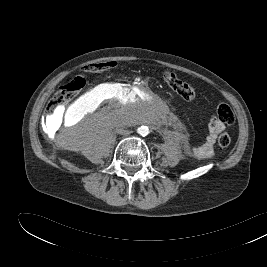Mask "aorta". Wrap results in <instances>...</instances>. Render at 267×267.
<instances>
[{"instance_id":"762f6f07","label":"aorta","mask_w":267,"mask_h":267,"mask_svg":"<svg viewBox=\"0 0 267 267\" xmlns=\"http://www.w3.org/2000/svg\"><path fill=\"white\" fill-rule=\"evenodd\" d=\"M138 133L141 134L142 136H145L149 133V130L147 127L142 126L138 129Z\"/></svg>"}]
</instances>
